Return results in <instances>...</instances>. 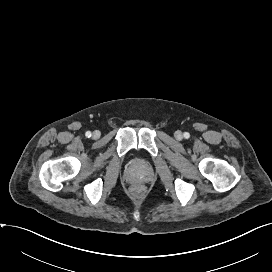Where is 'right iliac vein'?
Wrapping results in <instances>:
<instances>
[{"label":"right iliac vein","mask_w":272,"mask_h":272,"mask_svg":"<svg viewBox=\"0 0 272 272\" xmlns=\"http://www.w3.org/2000/svg\"><path fill=\"white\" fill-rule=\"evenodd\" d=\"M92 137L94 139H98L100 137V132L99 131H94Z\"/></svg>","instance_id":"obj_1"}]
</instances>
